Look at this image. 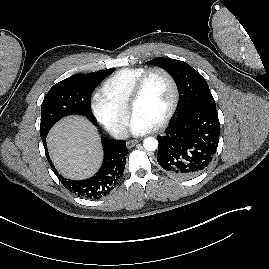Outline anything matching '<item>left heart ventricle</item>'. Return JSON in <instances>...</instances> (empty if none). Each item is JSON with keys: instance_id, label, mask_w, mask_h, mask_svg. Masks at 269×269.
<instances>
[{"instance_id": "left-heart-ventricle-1", "label": "left heart ventricle", "mask_w": 269, "mask_h": 269, "mask_svg": "<svg viewBox=\"0 0 269 269\" xmlns=\"http://www.w3.org/2000/svg\"><path fill=\"white\" fill-rule=\"evenodd\" d=\"M172 97V86L168 78L161 73H154L149 78L140 100L134 107L133 115L155 126L167 113Z\"/></svg>"}]
</instances>
